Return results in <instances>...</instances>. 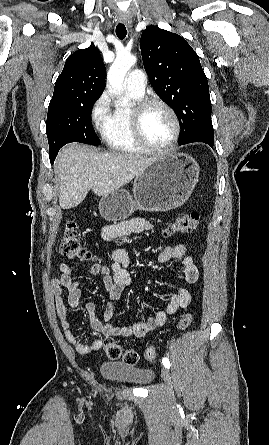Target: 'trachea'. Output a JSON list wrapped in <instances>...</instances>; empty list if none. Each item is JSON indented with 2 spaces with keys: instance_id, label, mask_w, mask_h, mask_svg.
I'll use <instances>...</instances> for the list:
<instances>
[{
  "instance_id": "3493384b",
  "label": "trachea",
  "mask_w": 269,
  "mask_h": 445,
  "mask_svg": "<svg viewBox=\"0 0 269 445\" xmlns=\"http://www.w3.org/2000/svg\"><path fill=\"white\" fill-rule=\"evenodd\" d=\"M127 30L124 24L119 23L116 27V35L119 39H124L126 37Z\"/></svg>"
}]
</instances>
